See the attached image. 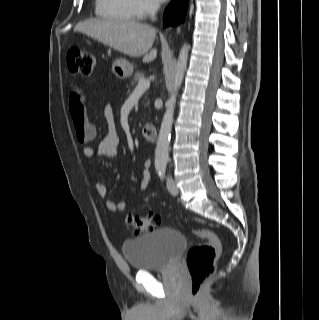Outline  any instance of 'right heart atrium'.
I'll use <instances>...</instances> for the list:
<instances>
[{"label": "right heart atrium", "mask_w": 319, "mask_h": 320, "mask_svg": "<svg viewBox=\"0 0 319 320\" xmlns=\"http://www.w3.org/2000/svg\"><path fill=\"white\" fill-rule=\"evenodd\" d=\"M135 17L145 18L159 8L158 0H130Z\"/></svg>", "instance_id": "1"}]
</instances>
